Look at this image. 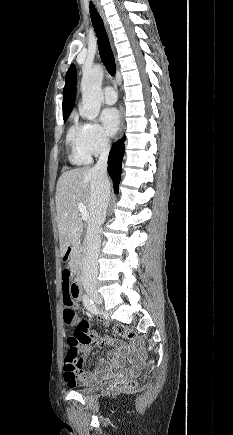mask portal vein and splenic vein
<instances>
[{
	"mask_svg": "<svg viewBox=\"0 0 233 435\" xmlns=\"http://www.w3.org/2000/svg\"><path fill=\"white\" fill-rule=\"evenodd\" d=\"M77 206H78L79 211L81 212L82 219H83L84 221H87L88 218H89V213H88V211H87L85 205H84L82 202H79V203L77 204Z\"/></svg>",
	"mask_w": 233,
	"mask_h": 435,
	"instance_id": "1",
	"label": "portal vein and splenic vein"
}]
</instances>
